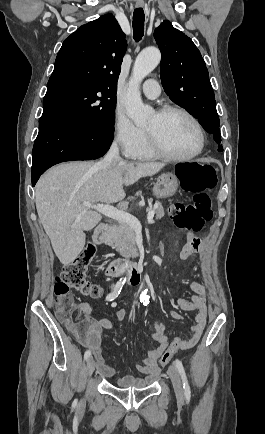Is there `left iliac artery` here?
I'll return each instance as SVG.
<instances>
[{
	"label": "left iliac artery",
	"instance_id": "44dca946",
	"mask_svg": "<svg viewBox=\"0 0 265 434\" xmlns=\"http://www.w3.org/2000/svg\"><path fill=\"white\" fill-rule=\"evenodd\" d=\"M174 363H175V366H176V368H177V370H178V372L182 378L184 395H185L187 400H190L191 391H190V386L188 384V380H187L186 373L184 370V366L179 359H175Z\"/></svg>",
	"mask_w": 265,
	"mask_h": 434
}]
</instances>
